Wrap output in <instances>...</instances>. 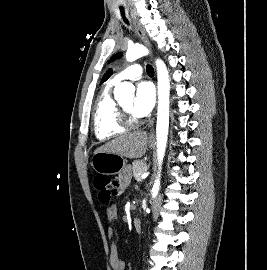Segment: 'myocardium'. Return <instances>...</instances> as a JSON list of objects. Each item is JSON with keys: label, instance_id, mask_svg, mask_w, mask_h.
Instances as JSON below:
<instances>
[{"label": "myocardium", "instance_id": "myocardium-1", "mask_svg": "<svg viewBox=\"0 0 267 270\" xmlns=\"http://www.w3.org/2000/svg\"><path fill=\"white\" fill-rule=\"evenodd\" d=\"M118 121L125 128H133L140 123V120L132 116L121 104H118Z\"/></svg>", "mask_w": 267, "mask_h": 270}]
</instances>
